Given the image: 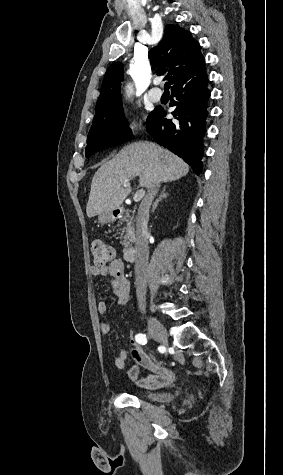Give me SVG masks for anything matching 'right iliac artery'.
Segmentation results:
<instances>
[{"label":"right iliac artery","instance_id":"obj_1","mask_svg":"<svg viewBox=\"0 0 283 475\" xmlns=\"http://www.w3.org/2000/svg\"><path fill=\"white\" fill-rule=\"evenodd\" d=\"M135 340L136 342H138L139 344H142V345H145L147 343V337L145 334H137L135 336Z\"/></svg>","mask_w":283,"mask_h":475}]
</instances>
